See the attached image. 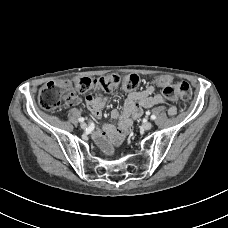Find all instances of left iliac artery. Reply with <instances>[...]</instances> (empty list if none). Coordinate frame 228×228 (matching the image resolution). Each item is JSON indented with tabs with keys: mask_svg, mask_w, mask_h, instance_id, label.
I'll use <instances>...</instances> for the list:
<instances>
[{
	"mask_svg": "<svg viewBox=\"0 0 228 228\" xmlns=\"http://www.w3.org/2000/svg\"><path fill=\"white\" fill-rule=\"evenodd\" d=\"M151 119L152 120H155L156 119V116L155 115H151Z\"/></svg>",
	"mask_w": 228,
	"mask_h": 228,
	"instance_id": "44dca946",
	"label": "left iliac artery"
}]
</instances>
